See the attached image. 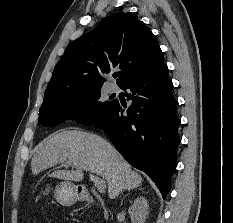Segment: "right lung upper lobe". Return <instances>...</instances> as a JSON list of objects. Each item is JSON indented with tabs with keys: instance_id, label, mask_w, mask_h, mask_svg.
<instances>
[{
	"instance_id": "cb5924a9",
	"label": "right lung upper lobe",
	"mask_w": 233,
	"mask_h": 223,
	"mask_svg": "<svg viewBox=\"0 0 233 223\" xmlns=\"http://www.w3.org/2000/svg\"><path fill=\"white\" fill-rule=\"evenodd\" d=\"M163 53L150 29L131 13L117 12L65 49L46 88L43 105L101 88L105 74L119 68L117 84L163 63Z\"/></svg>"
}]
</instances>
